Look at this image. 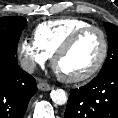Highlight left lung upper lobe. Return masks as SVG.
<instances>
[{
    "label": "left lung upper lobe",
    "instance_id": "1",
    "mask_svg": "<svg viewBox=\"0 0 118 118\" xmlns=\"http://www.w3.org/2000/svg\"><path fill=\"white\" fill-rule=\"evenodd\" d=\"M104 26L109 43L108 56L98 75L118 69V27L111 23H105Z\"/></svg>",
    "mask_w": 118,
    "mask_h": 118
}]
</instances>
